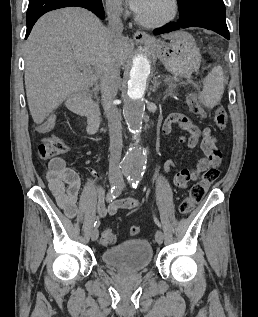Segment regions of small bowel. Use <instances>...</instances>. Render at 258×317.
Listing matches in <instances>:
<instances>
[{
	"instance_id": "small-bowel-1",
	"label": "small bowel",
	"mask_w": 258,
	"mask_h": 317,
	"mask_svg": "<svg viewBox=\"0 0 258 317\" xmlns=\"http://www.w3.org/2000/svg\"><path fill=\"white\" fill-rule=\"evenodd\" d=\"M82 112L87 118L89 133L94 134L99 125V111L97 106L87 101L86 108L82 110ZM55 123L56 118L50 116L37 127V130L40 133L49 132L54 128ZM174 124L189 134L188 137H180L181 142L186 143L189 148H193L201 142V149L204 153V157L196 163L194 168H180L178 170L174 178V185L182 189L187 186L189 181L198 180L201 173L209 166H219L222 161V154L218 147L217 139L212 134L211 128L206 127L201 130L186 115L173 113L169 115L164 122L163 133L170 134ZM175 167V162L167 160L164 164V171L168 173ZM47 181L50 191L66 216L75 218L78 214L81 186L77 172L69 167L63 158L56 157L49 162ZM137 204L138 202L134 198H125L106 205L104 203V191L102 188L97 189L94 199L95 211L101 218L106 215H114L120 209H132L136 207Z\"/></svg>"
}]
</instances>
